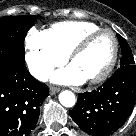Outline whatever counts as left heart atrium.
<instances>
[{
  "mask_svg": "<svg viewBox=\"0 0 136 136\" xmlns=\"http://www.w3.org/2000/svg\"><path fill=\"white\" fill-rule=\"evenodd\" d=\"M52 81L61 84H81L85 78L72 65L52 74Z\"/></svg>",
  "mask_w": 136,
  "mask_h": 136,
  "instance_id": "39dd6f15",
  "label": "left heart atrium"
}]
</instances>
